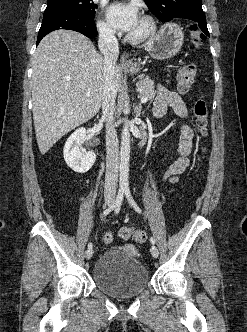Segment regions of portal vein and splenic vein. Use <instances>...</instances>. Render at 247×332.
Masks as SVG:
<instances>
[{
  "label": "portal vein and splenic vein",
  "mask_w": 247,
  "mask_h": 332,
  "mask_svg": "<svg viewBox=\"0 0 247 332\" xmlns=\"http://www.w3.org/2000/svg\"><path fill=\"white\" fill-rule=\"evenodd\" d=\"M86 96H89V94L87 93ZM140 101L141 103H146L148 101V97H142Z\"/></svg>",
  "instance_id": "1"
}]
</instances>
